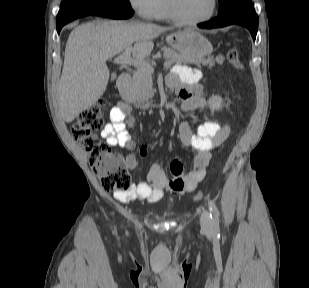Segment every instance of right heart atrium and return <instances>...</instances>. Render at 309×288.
Wrapping results in <instances>:
<instances>
[{
  "label": "right heart atrium",
  "mask_w": 309,
  "mask_h": 288,
  "mask_svg": "<svg viewBox=\"0 0 309 288\" xmlns=\"http://www.w3.org/2000/svg\"><path fill=\"white\" fill-rule=\"evenodd\" d=\"M162 0H128L131 8L145 18H154Z\"/></svg>",
  "instance_id": "1"
}]
</instances>
